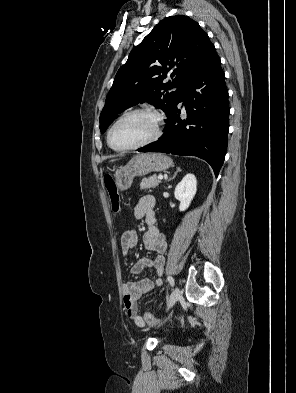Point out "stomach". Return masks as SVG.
<instances>
[{
	"mask_svg": "<svg viewBox=\"0 0 296 393\" xmlns=\"http://www.w3.org/2000/svg\"><path fill=\"white\" fill-rule=\"evenodd\" d=\"M172 164L171 158L161 153L136 155L115 172L116 186L119 190H126L131 187L134 177L145 176L150 172L165 171Z\"/></svg>",
	"mask_w": 296,
	"mask_h": 393,
	"instance_id": "stomach-1",
	"label": "stomach"
}]
</instances>
